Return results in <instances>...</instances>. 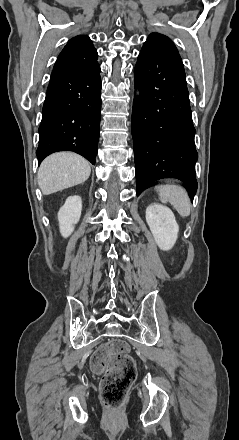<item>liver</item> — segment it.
<instances>
[{
	"label": "liver",
	"instance_id": "liver-1",
	"mask_svg": "<svg viewBox=\"0 0 239 440\" xmlns=\"http://www.w3.org/2000/svg\"><path fill=\"white\" fill-rule=\"evenodd\" d=\"M91 174L89 162L72 154L58 152L45 158L38 170V186L44 196L86 182Z\"/></svg>",
	"mask_w": 239,
	"mask_h": 440
}]
</instances>
